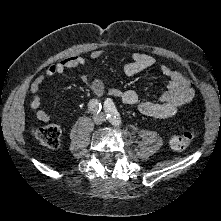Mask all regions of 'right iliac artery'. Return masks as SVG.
I'll use <instances>...</instances> for the list:
<instances>
[{
    "instance_id": "1",
    "label": "right iliac artery",
    "mask_w": 221,
    "mask_h": 221,
    "mask_svg": "<svg viewBox=\"0 0 221 221\" xmlns=\"http://www.w3.org/2000/svg\"><path fill=\"white\" fill-rule=\"evenodd\" d=\"M88 108L90 111L98 114L101 111L102 105L97 99H92L88 103Z\"/></svg>"
}]
</instances>
